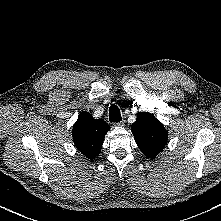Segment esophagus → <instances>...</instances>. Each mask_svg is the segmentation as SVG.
<instances>
[{
    "label": "esophagus",
    "mask_w": 221,
    "mask_h": 221,
    "mask_svg": "<svg viewBox=\"0 0 221 221\" xmlns=\"http://www.w3.org/2000/svg\"><path fill=\"white\" fill-rule=\"evenodd\" d=\"M124 125H125V121H120V122L114 123V126H116V127H122Z\"/></svg>",
    "instance_id": "1"
}]
</instances>
